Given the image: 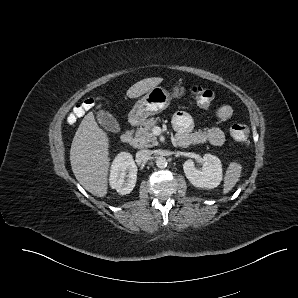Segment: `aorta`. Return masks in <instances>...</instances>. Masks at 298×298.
<instances>
[{
	"label": "aorta",
	"instance_id": "obj_1",
	"mask_svg": "<svg viewBox=\"0 0 298 298\" xmlns=\"http://www.w3.org/2000/svg\"><path fill=\"white\" fill-rule=\"evenodd\" d=\"M155 162H156L157 167H159V168H164L167 165V160L163 156H157Z\"/></svg>",
	"mask_w": 298,
	"mask_h": 298
}]
</instances>
